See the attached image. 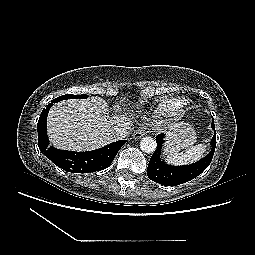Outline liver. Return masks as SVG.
Here are the masks:
<instances>
[{
	"instance_id": "1",
	"label": "liver",
	"mask_w": 255,
	"mask_h": 255,
	"mask_svg": "<svg viewBox=\"0 0 255 255\" xmlns=\"http://www.w3.org/2000/svg\"><path fill=\"white\" fill-rule=\"evenodd\" d=\"M130 123L125 114L109 116L106 101L100 97L65 100L54 105L48 115L50 143L64 150L86 151L115 140L113 127Z\"/></svg>"
}]
</instances>
